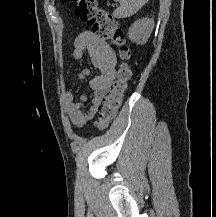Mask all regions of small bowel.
I'll return each mask as SVG.
<instances>
[{"instance_id":"obj_1","label":"small bowel","mask_w":216,"mask_h":217,"mask_svg":"<svg viewBox=\"0 0 216 217\" xmlns=\"http://www.w3.org/2000/svg\"><path fill=\"white\" fill-rule=\"evenodd\" d=\"M73 51V62H81L85 56H88L92 65L98 70L99 74L90 78L89 68H82L77 75V80L89 79V86L93 91L91 104L86 109L89 96L82 91L78 100L74 101L72 89L66 91L63 95L66 111L73 126L82 128L91 122L98 113V108L108 94L111 84L115 78L116 56L113 49L96 33L86 30L80 33L75 39ZM72 66V63L69 67ZM77 82L72 84L75 88Z\"/></svg>"}]
</instances>
